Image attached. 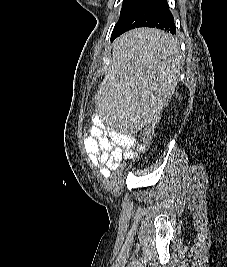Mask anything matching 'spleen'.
<instances>
[{
	"label": "spleen",
	"instance_id": "1",
	"mask_svg": "<svg viewBox=\"0 0 227 267\" xmlns=\"http://www.w3.org/2000/svg\"><path fill=\"white\" fill-rule=\"evenodd\" d=\"M114 63H107L99 82L96 100L99 115H158L172 96L180 73L181 58L175 38L158 30L129 29V33L111 46ZM155 106H129L130 104ZM150 116H101L107 129H120L124 137L131 125H147Z\"/></svg>",
	"mask_w": 227,
	"mask_h": 267
}]
</instances>
